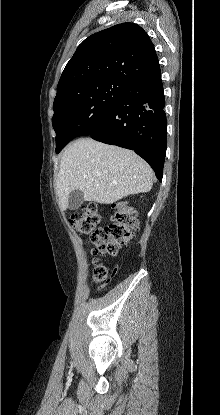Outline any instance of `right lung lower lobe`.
<instances>
[{"label":"right lung lower lobe","instance_id":"98d812e1","mask_svg":"<svg viewBox=\"0 0 220 415\" xmlns=\"http://www.w3.org/2000/svg\"><path fill=\"white\" fill-rule=\"evenodd\" d=\"M161 71L133 84L108 111L91 138L134 150L162 181L167 147V120Z\"/></svg>","mask_w":220,"mask_h":415}]
</instances>
